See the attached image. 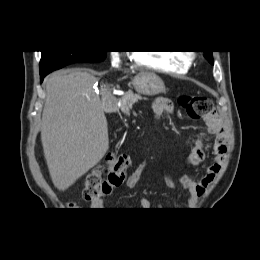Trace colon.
<instances>
[{"instance_id": "obj_1", "label": "colon", "mask_w": 260, "mask_h": 260, "mask_svg": "<svg viewBox=\"0 0 260 260\" xmlns=\"http://www.w3.org/2000/svg\"><path fill=\"white\" fill-rule=\"evenodd\" d=\"M178 102L191 118L201 119L216 115L212 102L207 97L181 96ZM128 164L125 155H118L110 159L106 171L101 168L92 170L83 182L82 197L86 201H93L107 196L113 188L123 183Z\"/></svg>"}]
</instances>
